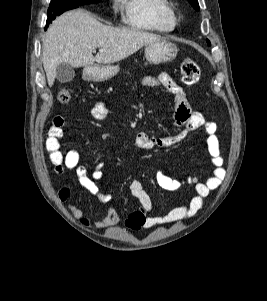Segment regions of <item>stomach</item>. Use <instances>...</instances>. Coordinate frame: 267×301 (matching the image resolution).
<instances>
[{
	"label": "stomach",
	"mask_w": 267,
	"mask_h": 301,
	"mask_svg": "<svg viewBox=\"0 0 267 301\" xmlns=\"http://www.w3.org/2000/svg\"><path fill=\"white\" fill-rule=\"evenodd\" d=\"M177 46L167 40L161 38L151 44H147L145 48V58L149 63L160 64L173 61L176 58ZM120 68L117 65H93L85 69L87 79L102 82L114 77Z\"/></svg>",
	"instance_id": "0dacf381"
}]
</instances>
